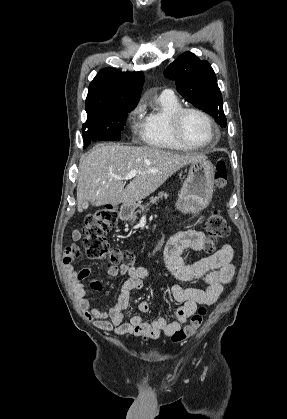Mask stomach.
Listing matches in <instances>:
<instances>
[{"mask_svg": "<svg viewBox=\"0 0 287 419\" xmlns=\"http://www.w3.org/2000/svg\"><path fill=\"white\" fill-rule=\"evenodd\" d=\"M214 166L208 160L191 163L189 173L179 192L177 208L186 213L196 214L206 208L213 195ZM139 204H122L119 210L121 220L134 221L135 209Z\"/></svg>", "mask_w": 287, "mask_h": 419, "instance_id": "1", "label": "stomach"}]
</instances>
